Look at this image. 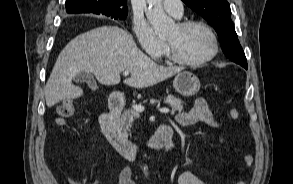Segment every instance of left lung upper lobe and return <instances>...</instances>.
<instances>
[{"label":"left lung upper lobe","instance_id":"5c2ea615","mask_svg":"<svg viewBox=\"0 0 293 184\" xmlns=\"http://www.w3.org/2000/svg\"><path fill=\"white\" fill-rule=\"evenodd\" d=\"M215 28L225 55L232 61H247L238 41L227 0H182Z\"/></svg>","mask_w":293,"mask_h":184}]
</instances>
